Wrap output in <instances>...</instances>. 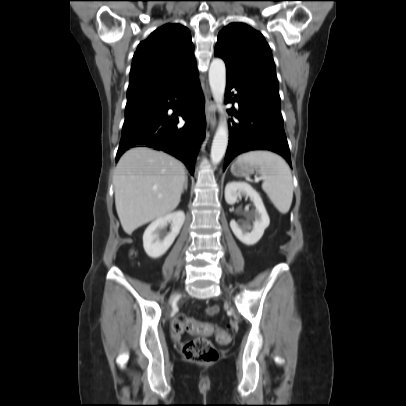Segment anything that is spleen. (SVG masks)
Returning <instances> with one entry per match:
<instances>
[{
	"label": "spleen",
	"instance_id": "3e777b00",
	"mask_svg": "<svg viewBox=\"0 0 406 406\" xmlns=\"http://www.w3.org/2000/svg\"><path fill=\"white\" fill-rule=\"evenodd\" d=\"M259 168L262 189L277 210L286 214L293 199V179L289 166L279 155L270 151H250L237 159Z\"/></svg>",
	"mask_w": 406,
	"mask_h": 406
}]
</instances>
